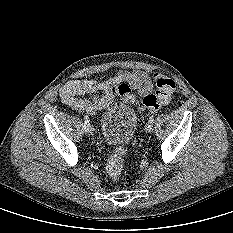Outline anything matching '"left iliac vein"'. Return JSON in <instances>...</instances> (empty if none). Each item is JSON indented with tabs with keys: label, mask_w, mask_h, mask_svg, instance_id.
Masks as SVG:
<instances>
[{
	"label": "left iliac vein",
	"mask_w": 233,
	"mask_h": 233,
	"mask_svg": "<svg viewBox=\"0 0 233 233\" xmlns=\"http://www.w3.org/2000/svg\"><path fill=\"white\" fill-rule=\"evenodd\" d=\"M146 132H151L152 131V125L150 123H147L145 126Z\"/></svg>",
	"instance_id": "1"
}]
</instances>
